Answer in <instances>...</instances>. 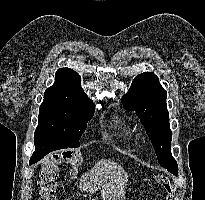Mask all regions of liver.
<instances>
[{
    "label": "liver",
    "mask_w": 205,
    "mask_h": 200,
    "mask_svg": "<svg viewBox=\"0 0 205 200\" xmlns=\"http://www.w3.org/2000/svg\"><path fill=\"white\" fill-rule=\"evenodd\" d=\"M127 182L128 174L123 167L115 161L103 158L81 176L79 188L87 193H94L102 188L103 200H123Z\"/></svg>",
    "instance_id": "obj_1"
}]
</instances>
